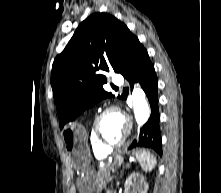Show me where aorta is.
<instances>
[{
	"label": "aorta",
	"mask_w": 221,
	"mask_h": 193,
	"mask_svg": "<svg viewBox=\"0 0 221 193\" xmlns=\"http://www.w3.org/2000/svg\"><path fill=\"white\" fill-rule=\"evenodd\" d=\"M132 102L136 122L141 126L147 122L150 116V109L146 102V96L141 88H135L133 90Z\"/></svg>",
	"instance_id": "1"
}]
</instances>
